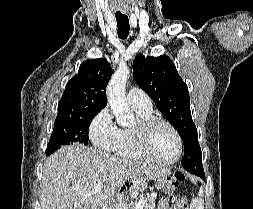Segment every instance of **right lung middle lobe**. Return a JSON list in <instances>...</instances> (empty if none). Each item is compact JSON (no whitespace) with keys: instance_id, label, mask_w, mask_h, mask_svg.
Here are the masks:
<instances>
[{"instance_id":"1","label":"right lung middle lobe","mask_w":253,"mask_h":209,"mask_svg":"<svg viewBox=\"0 0 253 209\" xmlns=\"http://www.w3.org/2000/svg\"><path fill=\"white\" fill-rule=\"evenodd\" d=\"M99 112L93 111L81 116L55 121L54 129L46 149L47 156L59 149L61 145H69L75 142L86 145L89 140V125Z\"/></svg>"}]
</instances>
